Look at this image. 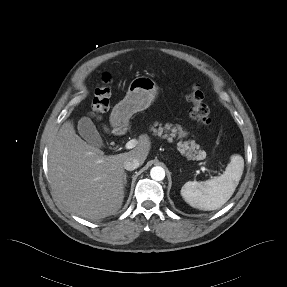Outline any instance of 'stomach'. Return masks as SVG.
Segmentation results:
<instances>
[{"label": "stomach", "instance_id": "obj_1", "mask_svg": "<svg viewBox=\"0 0 287 287\" xmlns=\"http://www.w3.org/2000/svg\"><path fill=\"white\" fill-rule=\"evenodd\" d=\"M158 94L156 82L147 76H139L131 81L125 98L116 104L110 115L114 133H120L133 114L147 109Z\"/></svg>", "mask_w": 287, "mask_h": 287}]
</instances>
